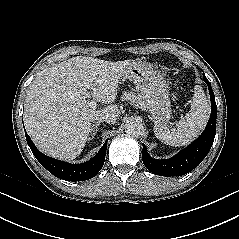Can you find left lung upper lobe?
Masks as SVG:
<instances>
[{
    "label": "left lung upper lobe",
    "instance_id": "obj_1",
    "mask_svg": "<svg viewBox=\"0 0 239 239\" xmlns=\"http://www.w3.org/2000/svg\"><path fill=\"white\" fill-rule=\"evenodd\" d=\"M203 78H204V79H207L206 76H205V74H203Z\"/></svg>",
    "mask_w": 239,
    "mask_h": 239
}]
</instances>
